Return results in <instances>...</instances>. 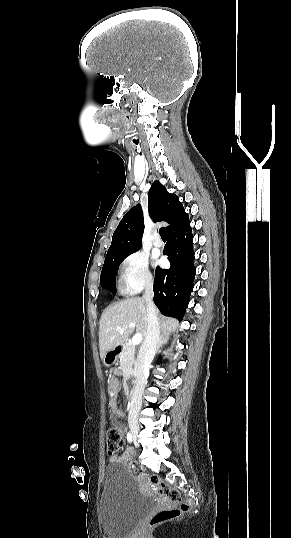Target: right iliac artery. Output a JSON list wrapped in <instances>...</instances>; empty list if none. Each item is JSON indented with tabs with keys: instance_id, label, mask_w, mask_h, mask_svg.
<instances>
[{
	"instance_id": "82829eb1",
	"label": "right iliac artery",
	"mask_w": 291,
	"mask_h": 538,
	"mask_svg": "<svg viewBox=\"0 0 291 538\" xmlns=\"http://www.w3.org/2000/svg\"><path fill=\"white\" fill-rule=\"evenodd\" d=\"M127 440H128L129 443H131L133 441V437L129 432L127 433Z\"/></svg>"
}]
</instances>
